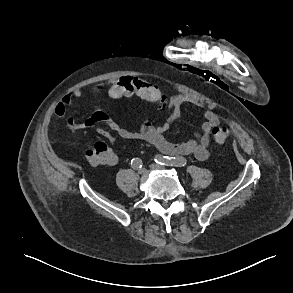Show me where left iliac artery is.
Returning <instances> with one entry per match:
<instances>
[{
	"mask_svg": "<svg viewBox=\"0 0 293 293\" xmlns=\"http://www.w3.org/2000/svg\"><path fill=\"white\" fill-rule=\"evenodd\" d=\"M154 161L160 165H165V166H185L186 165V159L182 157L178 158H173V157H168V156H161V155H156L154 158Z\"/></svg>",
	"mask_w": 293,
	"mask_h": 293,
	"instance_id": "1",
	"label": "left iliac artery"
}]
</instances>
